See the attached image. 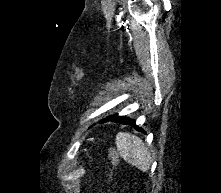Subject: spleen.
<instances>
[{"instance_id":"1","label":"spleen","mask_w":221,"mask_h":193,"mask_svg":"<svg viewBox=\"0 0 221 193\" xmlns=\"http://www.w3.org/2000/svg\"><path fill=\"white\" fill-rule=\"evenodd\" d=\"M116 145L120 156L125 161L142 171L150 169L151 157L140 138L127 132H119L116 136Z\"/></svg>"}]
</instances>
